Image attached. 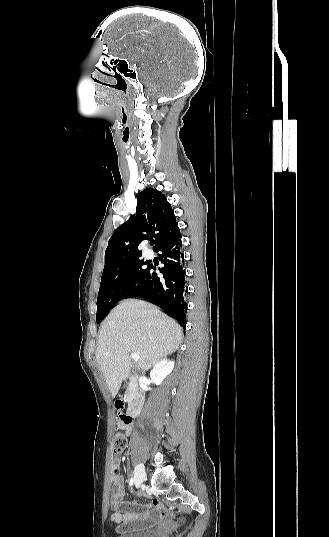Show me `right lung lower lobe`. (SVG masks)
I'll list each match as a JSON object with an SVG mask.
<instances>
[{"instance_id":"right-lung-lower-lobe-1","label":"right lung lower lobe","mask_w":329,"mask_h":537,"mask_svg":"<svg viewBox=\"0 0 329 537\" xmlns=\"http://www.w3.org/2000/svg\"><path fill=\"white\" fill-rule=\"evenodd\" d=\"M180 237V230H177L155 249L161 252L159 259L164 266L159 271L163 276L158 277L156 268L148 265L143 277L127 297H142L161 306L165 313L184 326L187 281Z\"/></svg>"}]
</instances>
